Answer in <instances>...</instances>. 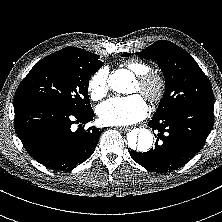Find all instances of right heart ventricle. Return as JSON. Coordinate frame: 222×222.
<instances>
[{"label":"right heart ventricle","mask_w":222,"mask_h":222,"mask_svg":"<svg viewBox=\"0 0 222 222\" xmlns=\"http://www.w3.org/2000/svg\"><path fill=\"white\" fill-rule=\"evenodd\" d=\"M124 65L137 76L146 74L151 70L150 65L138 59L127 60Z\"/></svg>","instance_id":"e07e8e85"}]
</instances>
